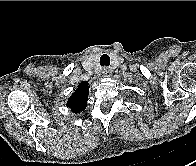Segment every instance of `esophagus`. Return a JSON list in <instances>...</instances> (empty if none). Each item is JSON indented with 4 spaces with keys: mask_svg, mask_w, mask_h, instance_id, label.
Here are the masks:
<instances>
[{
    "mask_svg": "<svg viewBox=\"0 0 196 166\" xmlns=\"http://www.w3.org/2000/svg\"><path fill=\"white\" fill-rule=\"evenodd\" d=\"M102 73L104 74L105 77H109L111 75V73H112V70L110 68H108V67H104L102 69Z\"/></svg>",
    "mask_w": 196,
    "mask_h": 166,
    "instance_id": "esophagus-1",
    "label": "esophagus"
}]
</instances>
